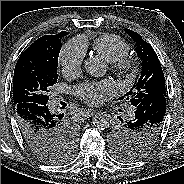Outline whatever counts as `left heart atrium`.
Returning <instances> with one entry per match:
<instances>
[{"mask_svg": "<svg viewBox=\"0 0 184 184\" xmlns=\"http://www.w3.org/2000/svg\"><path fill=\"white\" fill-rule=\"evenodd\" d=\"M114 85L108 80L100 82H83L75 87V93L89 104H97L102 99V93H110Z\"/></svg>", "mask_w": 184, "mask_h": 184, "instance_id": "39dd6f15", "label": "left heart atrium"}]
</instances>
